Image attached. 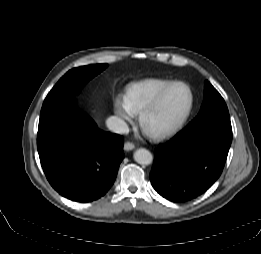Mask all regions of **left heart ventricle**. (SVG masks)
Returning <instances> with one entry per match:
<instances>
[{"label":"left heart ventricle","instance_id":"left-heart-ventricle-1","mask_svg":"<svg viewBox=\"0 0 261 254\" xmlns=\"http://www.w3.org/2000/svg\"><path fill=\"white\" fill-rule=\"evenodd\" d=\"M189 104V92L186 87L176 85L164 96L158 109L151 115L149 123L154 127L174 124L185 112Z\"/></svg>","mask_w":261,"mask_h":254}]
</instances>
